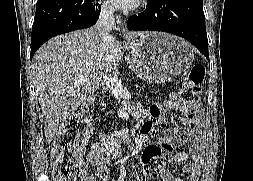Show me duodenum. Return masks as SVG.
Masks as SVG:
<instances>
[{
	"label": "duodenum",
	"instance_id": "410a0bca",
	"mask_svg": "<svg viewBox=\"0 0 253 181\" xmlns=\"http://www.w3.org/2000/svg\"><path fill=\"white\" fill-rule=\"evenodd\" d=\"M122 136H123V137H127L128 134H127L126 132H122Z\"/></svg>",
	"mask_w": 253,
	"mask_h": 181
}]
</instances>
